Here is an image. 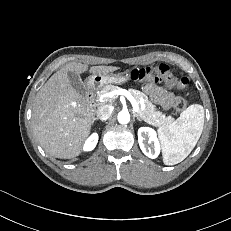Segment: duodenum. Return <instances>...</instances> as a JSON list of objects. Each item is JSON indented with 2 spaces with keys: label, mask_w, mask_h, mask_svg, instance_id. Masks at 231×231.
Instances as JSON below:
<instances>
[{
  "label": "duodenum",
  "mask_w": 231,
  "mask_h": 231,
  "mask_svg": "<svg viewBox=\"0 0 231 231\" xmlns=\"http://www.w3.org/2000/svg\"><path fill=\"white\" fill-rule=\"evenodd\" d=\"M94 90H95V84L89 83L86 87V97L89 103H93L94 101Z\"/></svg>",
  "instance_id": "duodenum-1"
}]
</instances>
